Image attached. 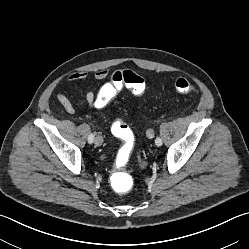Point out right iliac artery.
I'll list each match as a JSON object with an SVG mask.
<instances>
[{"label": "right iliac artery", "instance_id": "82829eb1", "mask_svg": "<svg viewBox=\"0 0 249 249\" xmlns=\"http://www.w3.org/2000/svg\"><path fill=\"white\" fill-rule=\"evenodd\" d=\"M93 141H94V134L91 133V134L88 136V142L91 144V143H93Z\"/></svg>", "mask_w": 249, "mask_h": 249}]
</instances>
